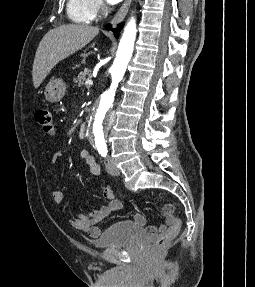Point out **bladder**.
<instances>
[{"mask_svg": "<svg viewBox=\"0 0 255 287\" xmlns=\"http://www.w3.org/2000/svg\"><path fill=\"white\" fill-rule=\"evenodd\" d=\"M146 233V229L134 221H119L94 240V245L99 248L127 245L134 243Z\"/></svg>", "mask_w": 255, "mask_h": 287, "instance_id": "bladder-1", "label": "bladder"}]
</instances>
